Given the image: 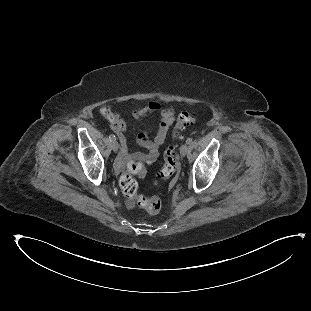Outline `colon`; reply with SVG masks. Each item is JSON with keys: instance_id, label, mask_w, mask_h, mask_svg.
Here are the masks:
<instances>
[{"instance_id": "5ec220e1", "label": "colon", "mask_w": 311, "mask_h": 311, "mask_svg": "<svg viewBox=\"0 0 311 311\" xmlns=\"http://www.w3.org/2000/svg\"><path fill=\"white\" fill-rule=\"evenodd\" d=\"M106 112L105 106L102 108ZM196 122V115L189 112H180L177 116L174 129L171 134V141L166 145L163 154V164L158 171V177L165 181L179 171V163L176 156V143L181 137V130L187 126H192ZM146 168L144 166L130 165L121 175L120 187L125 197L134 202L146 212L156 214L162 208V200L157 196H144L138 193V182L134 175L144 176Z\"/></svg>"}]
</instances>
